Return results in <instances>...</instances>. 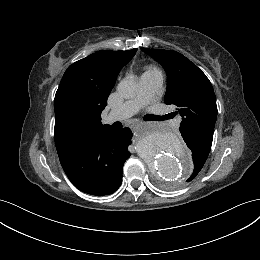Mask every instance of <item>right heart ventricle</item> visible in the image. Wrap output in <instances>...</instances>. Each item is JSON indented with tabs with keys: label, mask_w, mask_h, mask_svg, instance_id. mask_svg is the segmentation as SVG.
<instances>
[{
	"label": "right heart ventricle",
	"mask_w": 260,
	"mask_h": 260,
	"mask_svg": "<svg viewBox=\"0 0 260 260\" xmlns=\"http://www.w3.org/2000/svg\"><path fill=\"white\" fill-rule=\"evenodd\" d=\"M154 71H157V69L154 67H148L142 75L150 73V72H154Z\"/></svg>",
	"instance_id": "1"
}]
</instances>
